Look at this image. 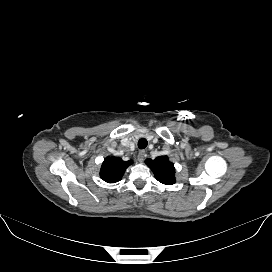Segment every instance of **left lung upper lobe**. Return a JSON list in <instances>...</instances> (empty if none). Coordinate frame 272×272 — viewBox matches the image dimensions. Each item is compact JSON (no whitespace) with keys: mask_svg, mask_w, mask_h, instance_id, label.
I'll list each match as a JSON object with an SVG mask.
<instances>
[{"mask_svg":"<svg viewBox=\"0 0 272 272\" xmlns=\"http://www.w3.org/2000/svg\"><path fill=\"white\" fill-rule=\"evenodd\" d=\"M145 163L152 170L158 181L166 185L175 183V168L167 156H159L152 159H146Z\"/></svg>","mask_w":272,"mask_h":272,"instance_id":"left-lung-upper-lobe-1","label":"left lung upper lobe"}]
</instances>
